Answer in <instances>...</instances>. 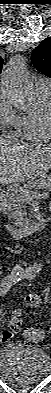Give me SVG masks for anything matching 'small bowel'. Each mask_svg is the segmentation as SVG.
<instances>
[{
  "instance_id": "c3829d8e",
  "label": "small bowel",
  "mask_w": 51,
  "mask_h": 393,
  "mask_svg": "<svg viewBox=\"0 0 51 393\" xmlns=\"http://www.w3.org/2000/svg\"><path fill=\"white\" fill-rule=\"evenodd\" d=\"M41 303H42V299H41V297H40L38 294H30V295H27V296L22 300V304H23V305H26V306H29V307H35V308L40 307V306H41ZM21 312H22V309H21V308H15V309L12 311V315H13V316H18V315L21 314ZM11 336H12V333L9 332V331H5V332H3V334H2V337H3L4 340H9V339L11 338Z\"/></svg>"
}]
</instances>
